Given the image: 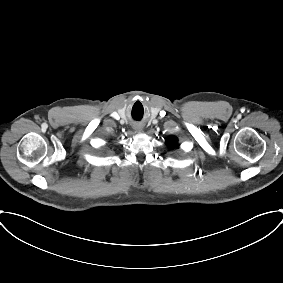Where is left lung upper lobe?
<instances>
[{"instance_id": "5c2ea615", "label": "left lung upper lobe", "mask_w": 283, "mask_h": 283, "mask_svg": "<svg viewBox=\"0 0 283 283\" xmlns=\"http://www.w3.org/2000/svg\"><path fill=\"white\" fill-rule=\"evenodd\" d=\"M167 144H168L171 148H173V147L176 146V144H177V138L174 137V136L169 137V138L167 139Z\"/></svg>"}]
</instances>
